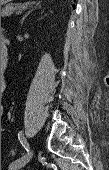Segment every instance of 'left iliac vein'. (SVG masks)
I'll return each instance as SVG.
<instances>
[{"label":"left iliac vein","mask_w":109,"mask_h":170,"mask_svg":"<svg viewBox=\"0 0 109 170\" xmlns=\"http://www.w3.org/2000/svg\"><path fill=\"white\" fill-rule=\"evenodd\" d=\"M33 154H34V149L31 148L23 157L12 162L9 166V170H18V169L22 168L30 161Z\"/></svg>","instance_id":"left-iliac-vein-1"}]
</instances>
